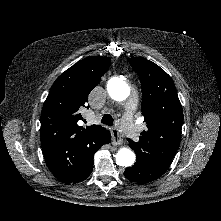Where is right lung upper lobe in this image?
I'll list each match as a JSON object with an SVG mask.
<instances>
[{"label":"right lung upper lobe","mask_w":221,"mask_h":221,"mask_svg":"<svg viewBox=\"0 0 221 221\" xmlns=\"http://www.w3.org/2000/svg\"><path fill=\"white\" fill-rule=\"evenodd\" d=\"M111 64L109 57L89 56L59 76L41 113V144L46 163L60 181L70 184L89 156L108 143L110 132L99 125L80 126L79 110ZM88 108V106H87Z\"/></svg>","instance_id":"1"}]
</instances>
